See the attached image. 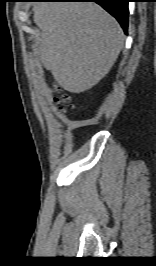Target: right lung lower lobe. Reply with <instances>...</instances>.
Returning a JSON list of instances; mask_svg holds the SVG:
<instances>
[{
	"instance_id": "right-lung-lower-lobe-1",
	"label": "right lung lower lobe",
	"mask_w": 156,
	"mask_h": 266,
	"mask_svg": "<svg viewBox=\"0 0 156 266\" xmlns=\"http://www.w3.org/2000/svg\"><path fill=\"white\" fill-rule=\"evenodd\" d=\"M39 2H96L101 5L106 11L113 15L124 32L127 33L128 27V2L130 0H34Z\"/></svg>"
}]
</instances>
